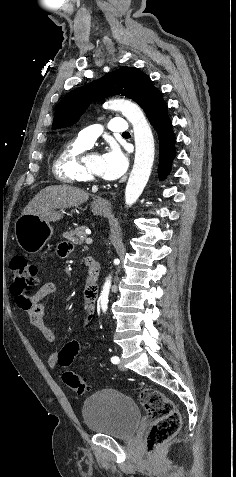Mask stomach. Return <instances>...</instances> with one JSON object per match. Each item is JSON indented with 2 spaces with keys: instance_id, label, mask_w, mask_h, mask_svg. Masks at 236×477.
<instances>
[{
  "instance_id": "stomach-1",
  "label": "stomach",
  "mask_w": 236,
  "mask_h": 477,
  "mask_svg": "<svg viewBox=\"0 0 236 477\" xmlns=\"http://www.w3.org/2000/svg\"><path fill=\"white\" fill-rule=\"evenodd\" d=\"M92 212L108 216L110 209L102 201L96 200L91 204ZM63 209L52 210L46 215L23 214L15 222V237L22 250L29 254L38 253L53 235L51 222L63 217Z\"/></svg>"
}]
</instances>
